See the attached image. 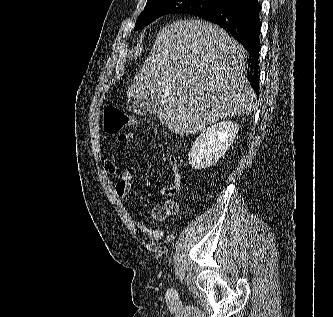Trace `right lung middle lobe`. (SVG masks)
Listing matches in <instances>:
<instances>
[{"label": "right lung middle lobe", "instance_id": "dd1d6c3e", "mask_svg": "<svg viewBox=\"0 0 333 317\" xmlns=\"http://www.w3.org/2000/svg\"><path fill=\"white\" fill-rule=\"evenodd\" d=\"M226 0H148L144 11L136 21L135 30L150 24L157 18L174 13L195 15L225 4Z\"/></svg>", "mask_w": 333, "mask_h": 317}]
</instances>
